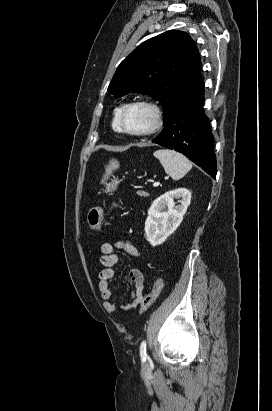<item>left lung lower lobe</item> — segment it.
I'll return each mask as SVG.
<instances>
[{"label": "left lung lower lobe", "mask_w": 272, "mask_h": 411, "mask_svg": "<svg viewBox=\"0 0 272 411\" xmlns=\"http://www.w3.org/2000/svg\"><path fill=\"white\" fill-rule=\"evenodd\" d=\"M203 92L204 86L188 98L152 142L184 154L215 179L216 156L209 121L203 111Z\"/></svg>", "instance_id": "0a47b994"}]
</instances>
